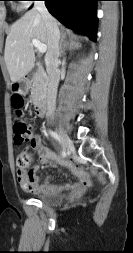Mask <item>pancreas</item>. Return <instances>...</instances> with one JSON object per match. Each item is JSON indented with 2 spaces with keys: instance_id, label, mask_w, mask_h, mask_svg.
Here are the masks:
<instances>
[{
  "instance_id": "cf45deb5",
  "label": "pancreas",
  "mask_w": 133,
  "mask_h": 253,
  "mask_svg": "<svg viewBox=\"0 0 133 253\" xmlns=\"http://www.w3.org/2000/svg\"><path fill=\"white\" fill-rule=\"evenodd\" d=\"M47 85L46 73L42 70L36 71L33 76V85L31 89V96L34 103L45 93Z\"/></svg>"
}]
</instances>
